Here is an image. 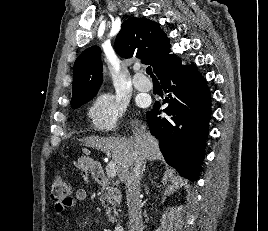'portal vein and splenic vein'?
<instances>
[{
    "label": "portal vein and splenic vein",
    "mask_w": 268,
    "mask_h": 231,
    "mask_svg": "<svg viewBox=\"0 0 268 231\" xmlns=\"http://www.w3.org/2000/svg\"><path fill=\"white\" fill-rule=\"evenodd\" d=\"M106 173L109 178H114L116 176V163L114 161H110L106 165Z\"/></svg>",
    "instance_id": "obj_1"
}]
</instances>
